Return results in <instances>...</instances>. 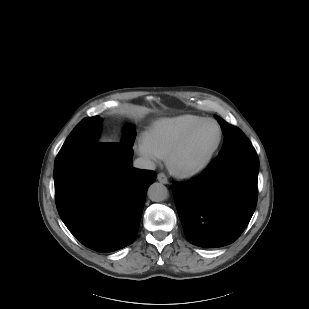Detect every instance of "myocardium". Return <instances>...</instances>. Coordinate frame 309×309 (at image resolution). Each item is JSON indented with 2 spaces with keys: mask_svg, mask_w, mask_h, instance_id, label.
<instances>
[{
  "mask_svg": "<svg viewBox=\"0 0 309 309\" xmlns=\"http://www.w3.org/2000/svg\"><path fill=\"white\" fill-rule=\"evenodd\" d=\"M212 123L218 129V137L215 144L212 146L207 156L198 164L194 166H185L179 161L180 154L193 135L205 124ZM223 139V130L220 124L214 119H203L191 129H189L184 136L176 143L167 157L169 169L180 177H194L205 171L211 164L217 150L219 149Z\"/></svg>",
  "mask_w": 309,
  "mask_h": 309,
  "instance_id": "1",
  "label": "myocardium"
}]
</instances>
